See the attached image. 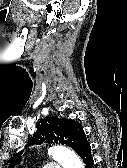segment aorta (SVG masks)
Instances as JSON below:
<instances>
[{"label": "aorta", "instance_id": "1", "mask_svg": "<svg viewBox=\"0 0 127 168\" xmlns=\"http://www.w3.org/2000/svg\"><path fill=\"white\" fill-rule=\"evenodd\" d=\"M48 154L63 168H84L77 154L63 146H54L48 150Z\"/></svg>", "mask_w": 127, "mask_h": 168}]
</instances>
